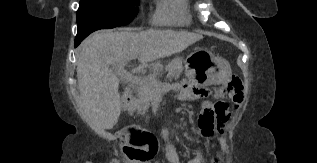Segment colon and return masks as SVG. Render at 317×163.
<instances>
[{"label":"colon","mask_w":317,"mask_h":163,"mask_svg":"<svg viewBox=\"0 0 317 163\" xmlns=\"http://www.w3.org/2000/svg\"><path fill=\"white\" fill-rule=\"evenodd\" d=\"M218 95L222 99H231L236 104L243 101V85L239 78L232 76L220 89ZM226 110L227 104L222 100L215 103H204L198 121L201 131L210 132L218 129L219 120ZM126 132L131 143V159L146 163L156 156L159 144L153 132L138 127H130L126 129Z\"/></svg>","instance_id":"colon-1"}]
</instances>
